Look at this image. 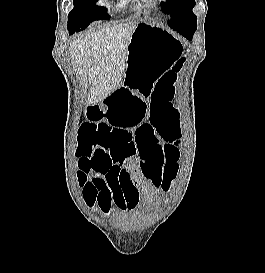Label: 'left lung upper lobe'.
I'll use <instances>...</instances> for the list:
<instances>
[{
    "instance_id": "left-lung-upper-lobe-1",
    "label": "left lung upper lobe",
    "mask_w": 265,
    "mask_h": 273,
    "mask_svg": "<svg viewBox=\"0 0 265 273\" xmlns=\"http://www.w3.org/2000/svg\"><path fill=\"white\" fill-rule=\"evenodd\" d=\"M162 10L171 16L168 25L171 28L180 29L191 24L197 25V17L193 14L194 0H167L162 2Z\"/></svg>"
}]
</instances>
